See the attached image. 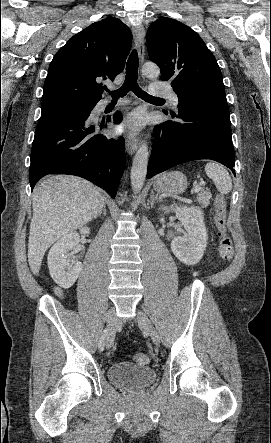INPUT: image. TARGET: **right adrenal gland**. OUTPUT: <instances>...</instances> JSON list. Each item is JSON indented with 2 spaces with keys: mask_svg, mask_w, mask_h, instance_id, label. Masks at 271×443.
Here are the masks:
<instances>
[{
  "mask_svg": "<svg viewBox=\"0 0 271 443\" xmlns=\"http://www.w3.org/2000/svg\"><path fill=\"white\" fill-rule=\"evenodd\" d=\"M101 214H103L104 218H106V206H103L100 214H98V216H96V218H99V216H101Z\"/></svg>",
  "mask_w": 271,
  "mask_h": 443,
  "instance_id": "2a0ac1e0",
  "label": "right adrenal gland"
}]
</instances>
